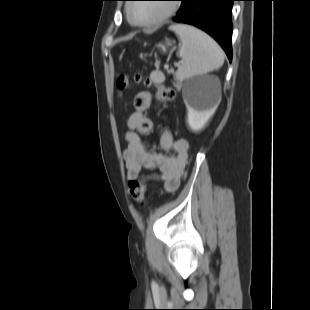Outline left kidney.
<instances>
[{
	"instance_id": "5707ae66",
	"label": "left kidney",
	"mask_w": 310,
	"mask_h": 310,
	"mask_svg": "<svg viewBox=\"0 0 310 310\" xmlns=\"http://www.w3.org/2000/svg\"><path fill=\"white\" fill-rule=\"evenodd\" d=\"M187 107V124L192 131H201L210 118L213 116L215 109L204 110L190 104L188 100L185 101Z\"/></svg>"
}]
</instances>
